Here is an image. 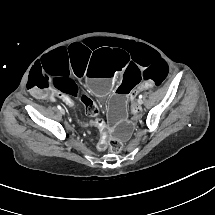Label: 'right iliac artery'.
I'll list each match as a JSON object with an SVG mask.
<instances>
[{"mask_svg": "<svg viewBox=\"0 0 215 215\" xmlns=\"http://www.w3.org/2000/svg\"><path fill=\"white\" fill-rule=\"evenodd\" d=\"M57 107H58V109H60V110L62 109L61 106H59V105H58Z\"/></svg>", "mask_w": 215, "mask_h": 215, "instance_id": "82829eb1", "label": "right iliac artery"}]
</instances>
